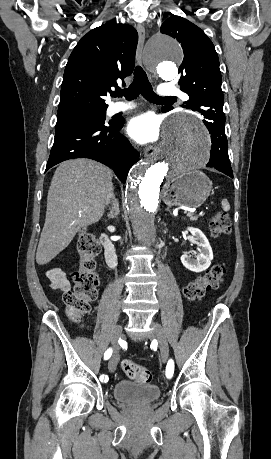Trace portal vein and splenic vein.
Segmentation results:
<instances>
[{
    "mask_svg": "<svg viewBox=\"0 0 271 459\" xmlns=\"http://www.w3.org/2000/svg\"><path fill=\"white\" fill-rule=\"evenodd\" d=\"M186 216H187V217H192V216H193V215H192V212H191V211H188V213H187Z\"/></svg>",
    "mask_w": 271,
    "mask_h": 459,
    "instance_id": "portal-vein-and-splenic-vein-1",
    "label": "portal vein and splenic vein"
}]
</instances>
